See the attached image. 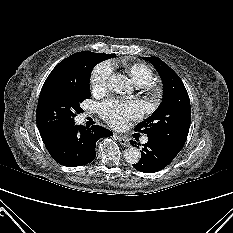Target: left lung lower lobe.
<instances>
[{
    "instance_id": "obj_1",
    "label": "left lung lower lobe",
    "mask_w": 233,
    "mask_h": 233,
    "mask_svg": "<svg viewBox=\"0 0 233 233\" xmlns=\"http://www.w3.org/2000/svg\"><path fill=\"white\" fill-rule=\"evenodd\" d=\"M132 146H136V142L130 141ZM141 151V159L133 167L141 172L153 173L162 170L176 157L178 153L171 150L164 144L149 138L148 142L143 145ZM139 147V143H138Z\"/></svg>"
}]
</instances>
